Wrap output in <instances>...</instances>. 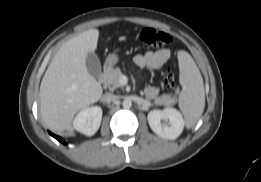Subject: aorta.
Instances as JSON below:
<instances>
[{
	"label": "aorta",
	"mask_w": 261,
	"mask_h": 182,
	"mask_svg": "<svg viewBox=\"0 0 261 182\" xmlns=\"http://www.w3.org/2000/svg\"><path fill=\"white\" fill-rule=\"evenodd\" d=\"M122 106L126 109L130 108L132 106V101L130 99L126 98L123 100Z\"/></svg>",
	"instance_id": "762f6f07"
}]
</instances>
